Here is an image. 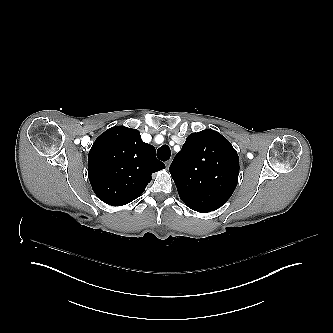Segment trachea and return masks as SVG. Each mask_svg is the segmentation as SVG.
I'll return each mask as SVG.
<instances>
[{"mask_svg": "<svg viewBox=\"0 0 333 333\" xmlns=\"http://www.w3.org/2000/svg\"><path fill=\"white\" fill-rule=\"evenodd\" d=\"M171 156V150L169 146L163 145L157 150V157L161 161H167Z\"/></svg>", "mask_w": 333, "mask_h": 333, "instance_id": "trachea-1", "label": "trachea"}]
</instances>
